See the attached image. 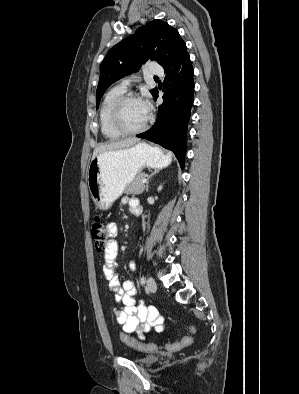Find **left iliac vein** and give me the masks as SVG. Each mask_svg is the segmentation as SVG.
Segmentation results:
<instances>
[{"label":"left iliac vein","instance_id":"4c4485c4","mask_svg":"<svg viewBox=\"0 0 299 394\" xmlns=\"http://www.w3.org/2000/svg\"><path fill=\"white\" fill-rule=\"evenodd\" d=\"M146 288L149 292H155L157 289L156 282L152 277L147 280Z\"/></svg>","mask_w":299,"mask_h":394}]
</instances>
